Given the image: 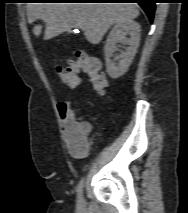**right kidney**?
<instances>
[{
  "label": "right kidney",
  "instance_id": "ca27d5eb",
  "mask_svg": "<svg viewBox=\"0 0 188 213\" xmlns=\"http://www.w3.org/2000/svg\"><path fill=\"white\" fill-rule=\"evenodd\" d=\"M140 32V25L134 20L119 22L111 29L104 47L106 69L111 78L117 79L128 71L139 47ZM119 42L128 47L121 51L119 63H115L111 58Z\"/></svg>",
  "mask_w": 188,
  "mask_h": 213
}]
</instances>
